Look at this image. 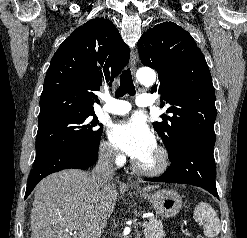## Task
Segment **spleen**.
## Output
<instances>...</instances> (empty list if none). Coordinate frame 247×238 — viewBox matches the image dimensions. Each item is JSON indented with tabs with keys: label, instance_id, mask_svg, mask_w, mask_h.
Returning a JSON list of instances; mask_svg holds the SVG:
<instances>
[{
	"label": "spleen",
	"instance_id": "1",
	"mask_svg": "<svg viewBox=\"0 0 247 238\" xmlns=\"http://www.w3.org/2000/svg\"><path fill=\"white\" fill-rule=\"evenodd\" d=\"M193 217L203 227L204 235L208 238H214L220 233V220L209 203L200 202L194 209Z\"/></svg>",
	"mask_w": 247,
	"mask_h": 238
}]
</instances>
